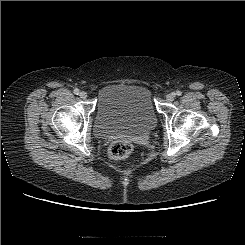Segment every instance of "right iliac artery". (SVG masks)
Instances as JSON below:
<instances>
[{"instance_id": "obj_1", "label": "right iliac artery", "mask_w": 245, "mask_h": 245, "mask_svg": "<svg viewBox=\"0 0 245 245\" xmlns=\"http://www.w3.org/2000/svg\"><path fill=\"white\" fill-rule=\"evenodd\" d=\"M74 94H76V95L79 94V89L78 88L74 89Z\"/></svg>"}]
</instances>
